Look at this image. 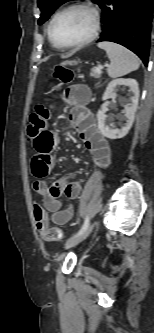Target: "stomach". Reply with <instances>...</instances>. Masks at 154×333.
Segmentation results:
<instances>
[{"mask_svg":"<svg viewBox=\"0 0 154 333\" xmlns=\"http://www.w3.org/2000/svg\"><path fill=\"white\" fill-rule=\"evenodd\" d=\"M62 64H64V65H74V64H76V61H65Z\"/></svg>","mask_w":154,"mask_h":333,"instance_id":"1","label":"stomach"}]
</instances>
